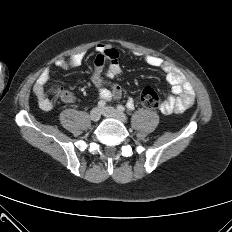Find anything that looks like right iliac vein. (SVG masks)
Returning <instances> with one entry per match:
<instances>
[{"label": "right iliac vein", "mask_w": 232, "mask_h": 232, "mask_svg": "<svg viewBox=\"0 0 232 232\" xmlns=\"http://www.w3.org/2000/svg\"><path fill=\"white\" fill-rule=\"evenodd\" d=\"M101 117V110L96 107V108H93L90 112V119L94 122L98 121Z\"/></svg>", "instance_id": "obj_1"}]
</instances>
